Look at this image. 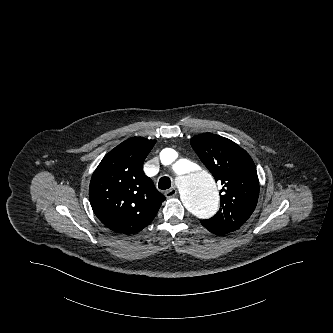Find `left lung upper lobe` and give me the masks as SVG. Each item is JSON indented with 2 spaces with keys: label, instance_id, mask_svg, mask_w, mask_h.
I'll use <instances>...</instances> for the list:
<instances>
[{
  "label": "left lung upper lobe",
  "instance_id": "1",
  "mask_svg": "<svg viewBox=\"0 0 333 333\" xmlns=\"http://www.w3.org/2000/svg\"><path fill=\"white\" fill-rule=\"evenodd\" d=\"M195 152L221 182L220 209L201 224L233 232L253 213L259 197V181L255 164L249 154L233 141L212 133L191 138Z\"/></svg>",
  "mask_w": 333,
  "mask_h": 333
}]
</instances>
